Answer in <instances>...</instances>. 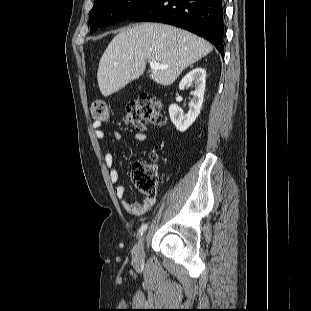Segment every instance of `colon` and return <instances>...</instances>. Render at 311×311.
<instances>
[{
  "instance_id": "colon-1",
  "label": "colon",
  "mask_w": 311,
  "mask_h": 311,
  "mask_svg": "<svg viewBox=\"0 0 311 311\" xmlns=\"http://www.w3.org/2000/svg\"><path fill=\"white\" fill-rule=\"evenodd\" d=\"M90 116L98 122L109 119V108L105 100L94 99L90 105ZM127 121L137 129L144 128L148 123L160 124L163 117L158 109L154 96L144 94L126 106ZM132 181L135 188L148 197L156 196L159 189V176L154 167L148 163H137L132 167Z\"/></svg>"
}]
</instances>
